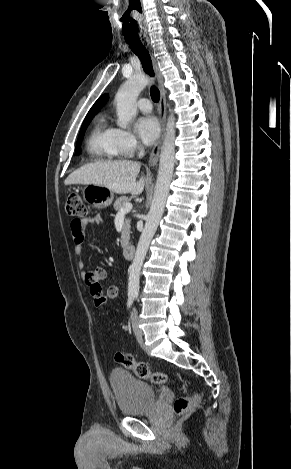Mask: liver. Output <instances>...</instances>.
<instances>
[{
  "instance_id": "6515ba94",
  "label": "liver",
  "mask_w": 291,
  "mask_h": 469,
  "mask_svg": "<svg viewBox=\"0 0 291 469\" xmlns=\"http://www.w3.org/2000/svg\"><path fill=\"white\" fill-rule=\"evenodd\" d=\"M140 164L131 160L101 161L90 163L72 172L65 180V185L94 184L104 186L118 194L143 192L146 179L137 181Z\"/></svg>"
}]
</instances>
